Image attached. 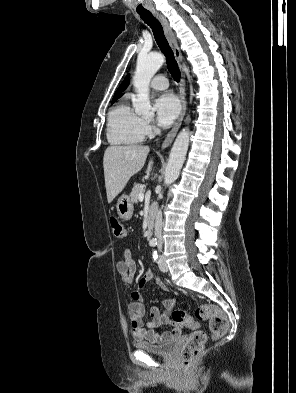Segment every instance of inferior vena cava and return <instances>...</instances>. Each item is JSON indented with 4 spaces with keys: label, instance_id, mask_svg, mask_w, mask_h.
Masks as SVG:
<instances>
[{
    "label": "inferior vena cava",
    "instance_id": "602c4592",
    "mask_svg": "<svg viewBox=\"0 0 296 393\" xmlns=\"http://www.w3.org/2000/svg\"><path fill=\"white\" fill-rule=\"evenodd\" d=\"M162 213L161 210L157 212L156 220H155V236L158 239V247H162Z\"/></svg>",
    "mask_w": 296,
    "mask_h": 393
}]
</instances>
